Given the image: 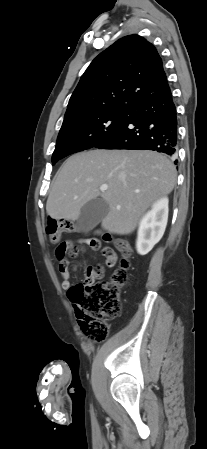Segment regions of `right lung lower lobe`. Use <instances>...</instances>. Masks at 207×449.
I'll return each mask as SVG.
<instances>
[{
  "label": "right lung lower lobe",
  "instance_id": "1",
  "mask_svg": "<svg viewBox=\"0 0 207 449\" xmlns=\"http://www.w3.org/2000/svg\"><path fill=\"white\" fill-rule=\"evenodd\" d=\"M177 125L176 106L169 91L136 107L118 131L94 147L153 150L175 157Z\"/></svg>",
  "mask_w": 207,
  "mask_h": 449
}]
</instances>
